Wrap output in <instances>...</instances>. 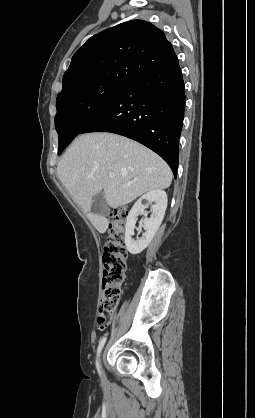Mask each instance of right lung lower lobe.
<instances>
[{
    "label": "right lung lower lobe",
    "mask_w": 255,
    "mask_h": 418,
    "mask_svg": "<svg viewBox=\"0 0 255 418\" xmlns=\"http://www.w3.org/2000/svg\"><path fill=\"white\" fill-rule=\"evenodd\" d=\"M185 87L179 63L144 74L128 84L80 132H111L133 139L157 154L176 178Z\"/></svg>",
    "instance_id": "right-lung-lower-lobe-1"
}]
</instances>
